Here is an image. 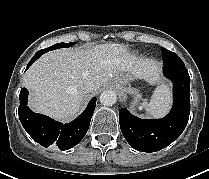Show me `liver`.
I'll use <instances>...</instances> for the list:
<instances>
[{
    "label": "liver",
    "mask_w": 209,
    "mask_h": 179,
    "mask_svg": "<svg viewBox=\"0 0 209 179\" xmlns=\"http://www.w3.org/2000/svg\"><path fill=\"white\" fill-rule=\"evenodd\" d=\"M159 70L155 61L135 57L121 44L107 43L48 52L28 69L23 85L29 90L28 105L33 111L69 121L81 109L85 82L94 83V92L125 73L154 83Z\"/></svg>",
    "instance_id": "liver-1"
}]
</instances>
